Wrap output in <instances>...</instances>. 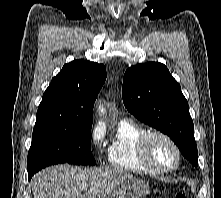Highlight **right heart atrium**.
<instances>
[{
	"label": "right heart atrium",
	"instance_id": "d8ad5b80",
	"mask_svg": "<svg viewBox=\"0 0 221 198\" xmlns=\"http://www.w3.org/2000/svg\"><path fill=\"white\" fill-rule=\"evenodd\" d=\"M104 136L105 132L101 126H94L90 132V143L98 151L102 147Z\"/></svg>",
	"mask_w": 221,
	"mask_h": 198
}]
</instances>
